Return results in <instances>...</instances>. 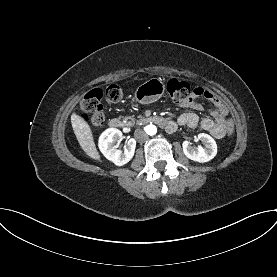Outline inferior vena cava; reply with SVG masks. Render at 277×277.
Here are the masks:
<instances>
[{
  "instance_id": "obj_1",
  "label": "inferior vena cava",
  "mask_w": 277,
  "mask_h": 277,
  "mask_svg": "<svg viewBox=\"0 0 277 277\" xmlns=\"http://www.w3.org/2000/svg\"><path fill=\"white\" fill-rule=\"evenodd\" d=\"M135 137L141 143H144L145 141L148 140V135L143 130H140V129L136 130Z\"/></svg>"
}]
</instances>
